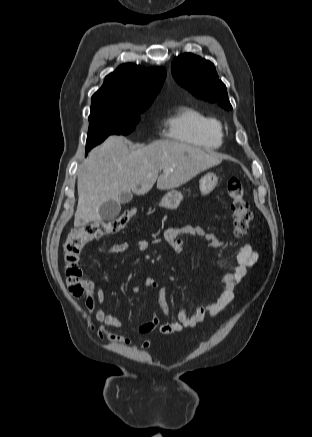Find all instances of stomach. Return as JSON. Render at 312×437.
I'll return each mask as SVG.
<instances>
[{"instance_id":"obj_1","label":"stomach","mask_w":312,"mask_h":437,"mask_svg":"<svg viewBox=\"0 0 312 437\" xmlns=\"http://www.w3.org/2000/svg\"><path fill=\"white\" fill-rule=\"evenodd\" d=\"M218 178L213 172H208L200 180V192L202 195H208L211 193L216 184ZM183 200V195L180 191L171 190L167 192L161 199L159 206L165 209L175 210L179 207L181 201Z\"/></svg>"}]
</instances>
